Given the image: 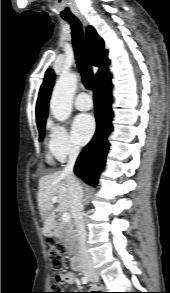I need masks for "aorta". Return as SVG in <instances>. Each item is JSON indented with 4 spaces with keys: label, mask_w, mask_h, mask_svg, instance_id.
Wrapping results in <instances>:
<instances>
[{
    "label": "aorta",
    "mask_w": 170,
    "mask_h": 293,
    "mask_svg": "<svg viewBox=\"0 0 170 293\" xmlns=\"http://www.w3.org/2000/svg\"><path fill=\"white\" fill-rule=\"evenodd\" d=\"M77 83L78 76L75 73L62 75L56 82L50 100V111L57 121H65L70 116Z\"/></svg>",
    "instance_id": "aorta-1"
}]
</instances>
